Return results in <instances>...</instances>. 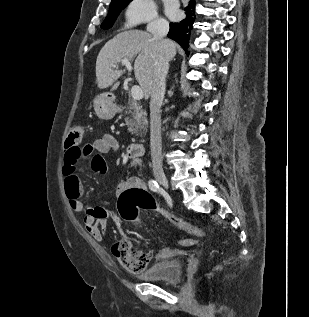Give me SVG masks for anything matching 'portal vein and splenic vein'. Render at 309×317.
<instances>
[{"label":"portal vein and splenic vein","instance_id":"18ae733b","mask_svg":"<svg viewBox=\"0 0 309 317\" xmlns=\"http://www.w3.org/2000/svg\"><path fill=\"white\" fill-rule=\"evenodd\" d=\"M120 62L122 63V65H125L128 70L132 69L131 63L128 59H122ZM114 67H116V66H114ZM131 95H132L133 99L140 100L143 98V91L139 86L134 85L131 88Z\"/></svg>","mask_w":309,"mask_h":317}]
</instances>
